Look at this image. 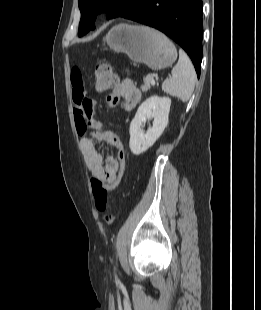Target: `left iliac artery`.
Segmentation results:
<instances>
[{
  "label": "left iliac artery",
  "mask_w": 261,
  "mask_h": 310,
  "mask_svg": "<svg viewBox=\"0 0 261 310\" xmlns=\"http://www.w3.org/2000/svg\"><path fill=\"white\" fill-rule=\"evenodd\" d=\"M116 282H119V280L117 279V276H116Z\"/></svg>",
  "instance_id": "44dca946"
}]
</instances>
